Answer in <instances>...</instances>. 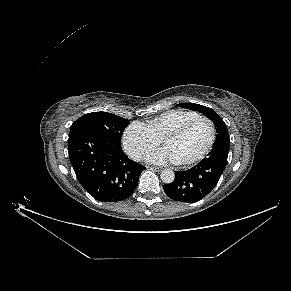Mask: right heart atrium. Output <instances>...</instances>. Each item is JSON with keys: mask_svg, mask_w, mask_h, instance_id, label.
Returning <instances> with one entry per match:
<instances>
[{"mask_svg": "<svg viewBox=\"0 0 291 291\" xmlns=\"http://www.w3.org/2000/svg\"><path fill=\"white\" fill-rule=\"evenodd\" d=\"M150 129L139 122L129 125L123 134V145L126 152L135 160H141L153 148L160 144Z\"/></svg>", "mask_w": 291, "mask_h": 291, "instance_id": "obj_1", "label": "right heart atrium"}]
</instances>
